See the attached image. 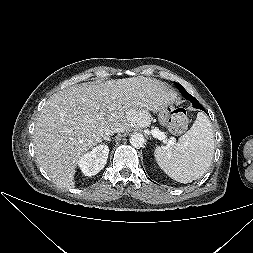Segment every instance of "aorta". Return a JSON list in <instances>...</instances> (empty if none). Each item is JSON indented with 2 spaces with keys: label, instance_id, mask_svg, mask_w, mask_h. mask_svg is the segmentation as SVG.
Wrapping results in <instances>:
<instances>
[{
  "label": "aorta",
  "instance_id": "1",
  "mask_svg": "<svg viewBox=\"0 0 253 253\" xmlns=\"http://www.w3.org/2000/svg\"><path fill=\"white\" fill-rule=\"evenodd\" d=\"M130 143L135 148H141L144 146L145 138L142 134H133L130 138Z\"/></svg>",
  "mask_w": 253,
  "mask_h": 253
}]
</instances>
